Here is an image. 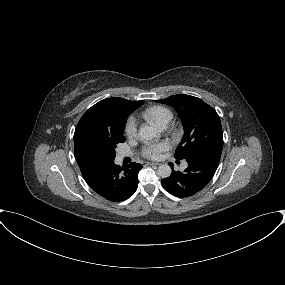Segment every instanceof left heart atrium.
<instances>
[{
  "mask_svg": "<svg viewBox=\"0 0 285 285\" xmlns=\"http://www.w3.org/2000/svg\"><path fill=\"white\" fill-rule=\"evenodd\" d=\"M168 149L167 143H150L145 146L143 155L150 159H158L161 153Z\"/></svg>",
  "mask_w": 285,
  "mask_h": 285,
  "instance_id": "left-heart-atrium-1",
  "label": "left heart atrium"
}]
</instances>
